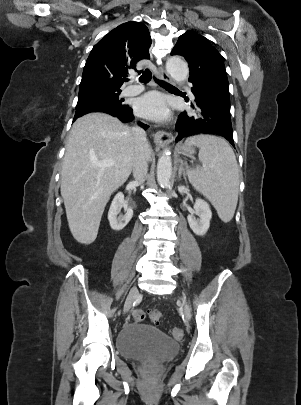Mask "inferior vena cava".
<instances>
[{
	"label": "inferior vena cava",
	"mask_w": 301,
	"mask_h": 405,
	"mask_svg": "<svg viewBox=\"0 0 301 405\" xmlns=\"http://www.w3.org/2000/svg\"><path fill=\"white\" fill-rule=\"evenodd\" d=\"M132 134L135 140V157L133 161V176L135 181L143 183L148 173V164L143 152V147L147 143L146 132L140 127L132 128Z\"/></svg>",
	"instance_id": "obj_1"
}]
</instances>
